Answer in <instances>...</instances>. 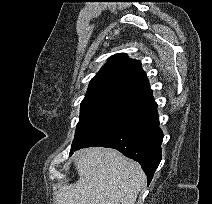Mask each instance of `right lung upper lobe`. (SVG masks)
<instances>
[{
    "label": "right lung upper lobe",
    "mask_w": 212,
    "mask_h": 204,
    "mask_svg": "<svg viewBox=\"0 0 212 204\" xmlns=\"http://www.w3.org/2000/svg\"><path fill=\"white\" fill-rule=\"evenodd\" d=\"M114 99L147 105L153 101L141 63L130 59L124 53L110 57V60L90 81L81 104L95 100Z\"/></svg>",
    "instance_id": "cb5924a9"
}]
</instances>
